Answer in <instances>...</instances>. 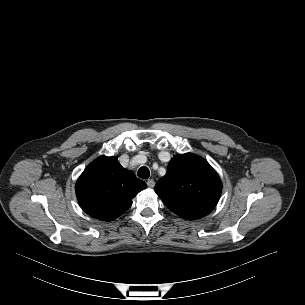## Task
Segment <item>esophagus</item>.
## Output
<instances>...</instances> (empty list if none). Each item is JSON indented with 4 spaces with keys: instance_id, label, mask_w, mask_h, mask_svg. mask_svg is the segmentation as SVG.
I'll return each mask as SVG.
<instances>
[{
    "instance_id": "34e87169",
    "label": "esophagus",
    "mask_w": 305,
    "mask_h": 305,
    "mask_svg": "<svg viewBox=\"0 0 305 305\" xmlns=\"http://www.w3.org/2000/svg\"><path fill=\"white\" fill-rule=\"evenodd\" d=\"M147 186H148L149 188H153V187L155 186V181H154V179H149V180H147Z\"/></svg>"
}]
</instances>
